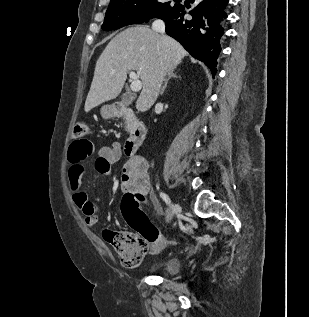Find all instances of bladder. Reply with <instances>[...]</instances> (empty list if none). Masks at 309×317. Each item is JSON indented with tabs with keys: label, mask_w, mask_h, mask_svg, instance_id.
<instances>
[{
	"label": "bladder",
	"mask_w": 309,
	"mask_h": 317,
	"mask_svg": "<svg viewBox=\"0 0 309 317\" xmlns=\"http://www.w3.org/2000/svg\"><path fill=\"white\" fill-rule=\"evenodd\" d=\"M151 270L166 275H175L180 270V262L176 258H166L155 263Z\"/></svg>",
	"instance_id": "obj_1"
}]
</instances>
